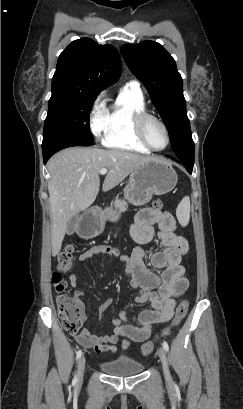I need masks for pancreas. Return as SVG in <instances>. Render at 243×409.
<instances>
[{
  "label": "pancreas",
  "instance_id": "obj_1",
  "mask_svg": "<svg viewBox=\"0 0 243 409\" xmlns=\"http://www.w3.org/2000/svg\"><path fill=\"white\" fill-rule=\"evenodd\" d=\"M116 210L120 212H124L128 208V204L124 199L116 198V200L112 203Z\"/></svg>",
  "mask_w": 243,
  "mask_h": 409
}]
</instances>
